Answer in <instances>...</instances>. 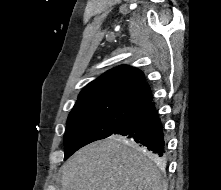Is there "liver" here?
I'll return each instance as SVG.
<instances>
[{
  "label": "liver",
  "mask_w": 221,
  "mask_h": 190,
  "mask_svg": "<svg viewBox=\"0 0 221 190\" xmlns=\"http://www.w3.org/2000/svg\"><path fill=\"white\" fill-rule=\"evenodd\" d=\"M158 164L137 145L113 135L81 148L62 165L61 190H167Z\"/></svg>",
  "instance_id": "obj_1"
}]
</instances>
